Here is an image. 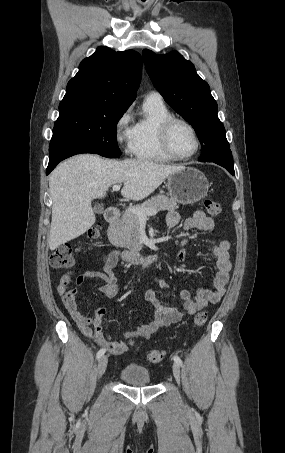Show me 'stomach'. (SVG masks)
<instances>
[{
    "mask_svg": "<svg viewBox=\"0 0 285 453\" xmlns=\"http://www.w3.org/2000/svg\"><path fill=\"white\" fill-rule=\"evenodd\" d=\"M167 188L171 199L193 204L207 196L209 182L200 170L183 166L167 177Z\"/></svg>",
    "mask_w": 285,
    "mask_h": 453,
    "instance_id": "obj_1",
    "label": "stomach"
}]
</instances>
